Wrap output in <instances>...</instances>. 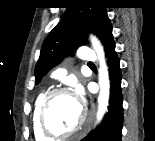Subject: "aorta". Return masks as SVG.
<instances>
[{
	"label": "aorta",
	"mask_w": 155,
	"mask_h": 141,
	"mask_svg": "<svg viewBox=\"0 0 155 141\" xmlns=\"http://www.w3.org/2000/svg\"><path fill=\"white\" fill-rule=\"evenodd\" d=\"M90 39L99 60L100 92L98 97L99 106L97 111V122H99L103 118L108 106L109 95H110V80H109V73H108V68L105 60L104 49L100 41L96 37L91 36Z\"/></svg>",
	"instance_id": "762f6f07"
}]
</instances>
